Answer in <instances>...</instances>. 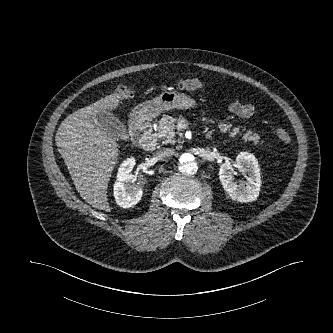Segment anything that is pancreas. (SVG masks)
<instances>
[{
	"instance_id": "obj_1",
	"label": "pancreas",
	"mask_w": 333,
	"mask_h": 333,
	"mask_svg": "<svg viewBox=\"0 0 333 333\" xmlns=\"http://www.w3.org/2000/svg\"><path fill=\"white\" fill-rule=\"evenodd\" d=\"M177 120L171 116H163L156 127V136L165 141V143H174L176 134L181 138L183 136L182 129L176 125ZM232 124L221 123L219 128L221 132H229L230 137H235L240 132L239 127H234L232 131L230 128ZM242 140L244 142L253 141V145H257L259 142V136L252 131H247L243 134Z\"/></svg>"
}]
</instances>
